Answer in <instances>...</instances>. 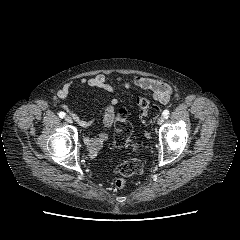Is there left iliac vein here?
I'll return each instance as SVG.
<instances>
[{"mask_svg":"<svg viewBox=\"0 0 240 240\" xmlns=\"http://www.w3.org/2000/svg\"><path fill=\"white\" fill-rule=\"evenodd\" d=\"M164 120H165L164 116H160L157 120L158 125H162L164 123Z\"/></svg>","mask_w":240,"mask_h":240,"instance_id":"left-iliac-vein-1","label":"left iliac vein"}]
</instances>
